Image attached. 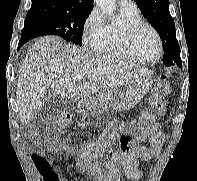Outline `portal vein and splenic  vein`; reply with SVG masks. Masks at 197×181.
<instances>
[{
	"label": "portal vein and splenic vein",
	"mask_w": 197,
	"mask_h": 181,
	"mask_svg": "<svg viewBox=\"0 0 197 181\" xmlns=\"http://www.w3.org/2000/svg\"><path fill=\"white\" fill-rule=\"evenodd\" d=\"M72 80L73 81H82V80H84V77L81 75H76V76L72 77Z\"/></svg>",
	"instance_id": "obj_1"
}]
</instances>
